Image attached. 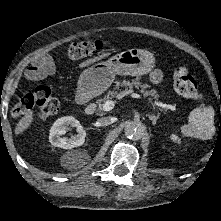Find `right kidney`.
I'll use <instances>...</instances> for the list:
<instances>
[{"instance_id": "1", "label": "right kidney", "mask_w": 221, "mask_h": 221, "mask_svg": "<svg viewBox=\"0 0 221 221\" xmlns=\"http://www.w3.org/2000/svg\"><path fill=\"white\" fill-rule=\"evenodd\" d=\"M69 126L75 127L78 134L70 138L62 137L66 133ZM86 131L81 126L80 122L72 116L62 117L57 119L50 129L49 141L59 148L72 149L81 146L85 142Z\"/></svg>"}]
</instances>
